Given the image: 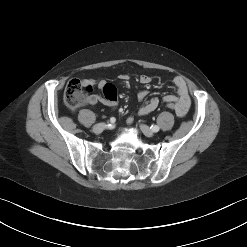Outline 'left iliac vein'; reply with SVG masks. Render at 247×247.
I'll return each instance as SVG.
<instances>
[{"mask_svg":"<svg viewBox=\"0 0 247 247\" xmlns=\"http://www.w3.org/2000/svg\"><path fill=\"white\" fill-rule=\"evenodd\" d=\"M140 129L144 133V135H146L147 137H153L154 136V132L149 128V126H147L145 124H141Z\"/></svg>","mask_w":247,"mask_h":247,"instance_id":"4c4485c4","label":"left iliac vein"}]
</instances>
